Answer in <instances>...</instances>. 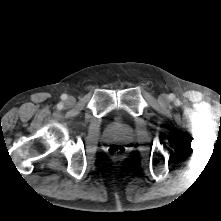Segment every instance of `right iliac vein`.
<instances>
[{"mask_svg":"<svg viewBox=\"0 0 221 221\" xmlns=\"http://www.w3.org/2000/svg\"><path fill=\"white\" fill-rule=\"evenodd\" d=\"M66 103H67L68 105L74 104V103H75V98L72 97V96L68 97L67 100H66Z\"/></svg>","mask_w":221,"mask_h":221,"instance_id":"1","label":"right iliac vein"}]
</instances>
